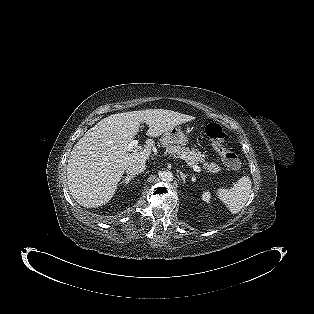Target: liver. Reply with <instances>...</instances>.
Instances as JSON below:
<instances>
[{
    "instance_id": "obj_1",
    "label": "liver",
    "mask_w": 314,
    "mask_h": 314,
    "mask_svg": "<svg viewBox=\"0 0 314 314\" xmlns=\"http://www.w3.org/2000/svg\"><path fill=\"white\" fill-rule=\"evenodd\" d=\"M192 120L195 117L164 109L123 112L102 119L72 149L67 165L72 197L87 208L102 206L111 200L127 166L146 162L151 155V139L140 152L127 150L141 123L148 125L147 135L156 138Z\"/></svg>"
}]
</instances>
